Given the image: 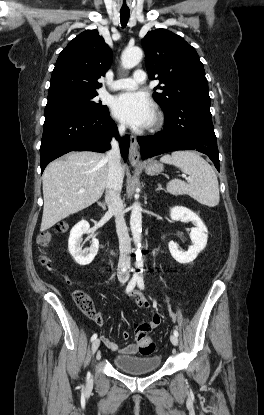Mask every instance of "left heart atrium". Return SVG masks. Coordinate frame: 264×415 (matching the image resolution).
I'll list each match as a JSON object with an SVG mask.
<instances>
[{
    "label": "left heart atrium",
    "instance_id": "left-heart-atrium-1",
    "mask_svg": "<svg viewBox=\"0 0 264 415\" xmlns=\"http://www.w3.org/2000/svg\"><path fill=\"white\" fill-rule=\"evenodd\" d=\"M114 115L128 125L139 128L149 125L154 116V106L144 92H126L113 102Z\"/></svg>",
    "mask_w": 264,
    "mask_h": 415
}]
</instances>
